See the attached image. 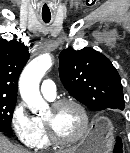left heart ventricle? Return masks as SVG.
Here are the masks:
<instances>
[{
	"mask_svg": "<svg viewBox=\"0 0 130 153\" xmlns=\"http://www.w3.org/2000/svg\"><path fill=\"white\" fill-rule=\"evenodd\" d=\"M46 116L51 117L54 128L61 137L73 138L81 130V114L72 105H64L56 111L49 109Z\"/></svg>",
	"mask_w": 130,
	"mask_h": 153,
	"instance_id": "obj_1",
	"label": "left heart ventricle"
}]
</instances>
